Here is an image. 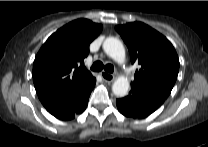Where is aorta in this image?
Masks as SVG:
<instances>
[{
	"mask_svg": "<svg viewBox=\"0 0 208 147\" xmlns=\"http://www.w3.org/2000/svg\"><path fill=\"white\" fill-rule=\"evenodd\" d=\"M103 50L117 63L122 64L125 62V48L119 39L114 37L107 38L103 43ZM128 90L129 81L124 76L118 77L112 85V91L118 97H124Z\"/></svg>",
	"mask_w": 208,
	"mask_h": 147,
	"instance_id": "762f6f07",
	"label": "aorta"
}]
</instances>
